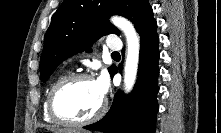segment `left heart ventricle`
<instances>
[{
  "label": "left heart ventricle",
  "mask_w": 221,
  "mask_h": 133,
  "mask_svg": "<svg viewBox=\"0 0 221 133\" xmlns=\"http://www.w3.org/2000/svg\"><path fill=\"white\" fill-rule=\"evenodd\" d=\"M102 100L94 81L82 80L62 89L55 99V107L62 117L81 120L91 116Z\"/></svg>",
  "instance_id": "b2bd125f"
}]
</instances>
